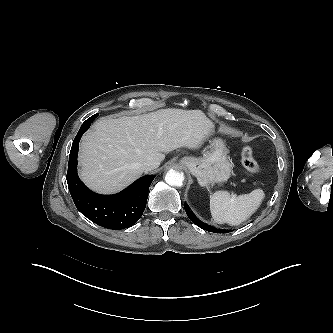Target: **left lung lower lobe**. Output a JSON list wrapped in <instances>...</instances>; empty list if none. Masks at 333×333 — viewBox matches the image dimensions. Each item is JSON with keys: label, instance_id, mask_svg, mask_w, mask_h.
Returning a JSON list of instances; mask_svg holds the SVG:
<instances>
[{"label": "left lung lower lobe", "instance_id": "0a47b994", "mask_svg": "<svg viewBox=\"0 0 333 333\" xmlns=\"http://www.w3.org/2000/svg\"><path fill=\"white\" fill-rule=\"evenodd\" d=\"M185 211L189 217V219L194 223L196 224L197 226H199L200 228L206 230V231H209V232H216V233H229L231 232V230H228V229H218V228H215L213 226H210V225H207L203 222H201L200 220H198L192 213L191 211L188 209L187 205H185Z\"/></svg>", "mask_w": 333, "mask_h": 333}]
</instances>
